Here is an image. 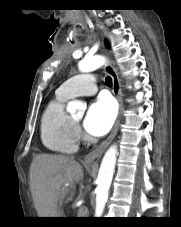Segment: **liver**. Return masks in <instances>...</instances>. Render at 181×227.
<instances>
[{
  "instance_id": "1",
  "label": "liver",
  "mask_w": 181,
  "mask_h": 227,
  "mask_svg": "<svg viewBox=\"0 0 181 227\" xmlns=\"http://www.w3.org/2000/svg\"><path fill=\"white\" fill-rule=\"evenodd\" d=\"M82 179L83 168L71 156H35L30 167V189L39 217H61L59 203Z\"/></svg>"
}]
</instances>
